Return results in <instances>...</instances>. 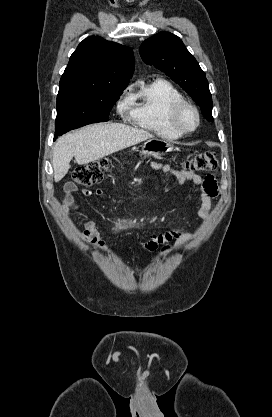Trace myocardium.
<instances>
[{"label":"myocardium","instance_id":"myocardium-1","mask_svg":"<svg viewBox=\"0 0 272 417\" xmlns=\"http://www.w3.org/2000/svg\"><path fill=\"white\" fill-rule=\"evenodd\" d=\"M185 110H191L195 115V125L192 128H185L181 124V116ZM168 122H169L170 127L181 136L188 135L196 131V129L199 127L200 113H199L198 108L194 104L186 100H181V101L175 102L170 107V110L168 113Z\"/></svg>","mask_w":272,"mask_h":417}]
</instances>
